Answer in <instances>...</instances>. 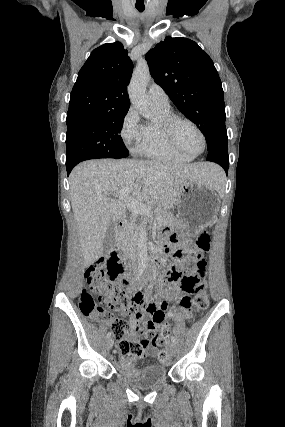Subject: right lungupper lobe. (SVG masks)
Listing matches in <instances>:
<instances>
[{"instance_id": "right-lung-upper-lobe-1", "label": "right lung upper lobe", "mask_w": 285, "mask_h": 427, "mask_svg": "<svg viewBox=\"0 0 285 427\" xmlns=\"http://www.w3.org/2000/svg\"><path fill=\"white\" fill-rule=\"evenodd\" d=\"M120 42L93 50L72 89L67 121L112 111H128L127 84L133 63Z\"/></svg>"}]
</instances>
